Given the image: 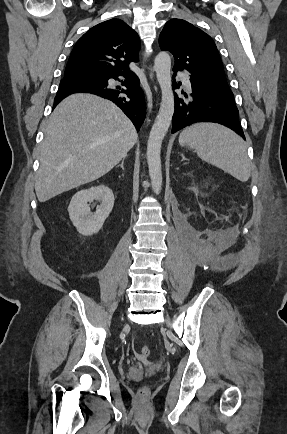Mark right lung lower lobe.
<instances>
[{"instance_id": "98d812e1", "label": "right lung lower lobe", "mask_w": 287, "mask_h": 434, "mask_svg": "<svg viewBox=\"0 0 287 434\" xmlns=\"http://www.w3.org/2000/svg\"><path fill=\"white\" fill-rule=\"evenodd\" d=\"M125 78V89H112L108 86L109 79ZM88 92L113 101L140 129L146 114L145 99L139 86V79L132 71L101 75L100 80L61 81L54 100V107L66 96L72 93Z\"/></svg>"}]
</instances>
